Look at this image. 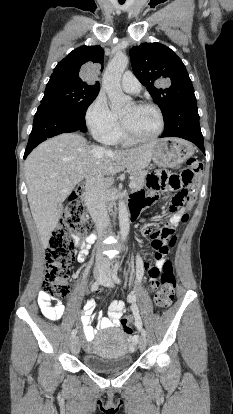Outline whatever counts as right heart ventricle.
<instances>
[{
  "mask_svg": "<svg viewBox=\"0 0 233 414\" xmlns=\"http://www.w3.org/2000/svg\"><path fill=\"white\" fill-rule=\"evenodd\" d=\"M132 143L133 141H131L124 135V133L121 130V127L118 125L111 144H121L124 146H128V145H131Z\"/></svg>",
  "mask_w": 233,
  "mask_h": 414,
  "instance_id": "e07e8e85",
  "label": "right heart ventricle"
}]
</instances>
